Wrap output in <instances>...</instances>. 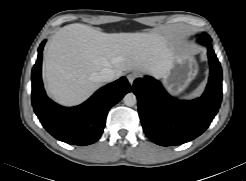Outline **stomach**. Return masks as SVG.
I'll return each instance as SVG.
<instances>
[{"label": "stomach", "instance_id": "obj_1", "mask_svg": "<svg viewBox=\"0 0 246 181\" xmlns=\"http://www.w3.org/2000/svg\"><path fill=\"white\" fill-rule=\"evenodd\" d=\"M198 71L194 54L189 48L172 51L167 67L160 77L164 87L174 96L180 95L195 78Z\"/></svg>", "mask_w": 246, "mask_h": 181}]
</instances>
